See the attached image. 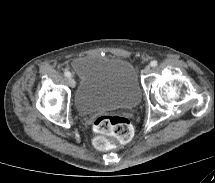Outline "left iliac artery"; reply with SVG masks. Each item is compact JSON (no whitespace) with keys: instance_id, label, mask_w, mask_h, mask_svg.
<instances>
[{"instance_id":"obj_1","label":"left iliac artery","mask_w":215,"mask_h":183,"mask_svg":"<svg viewBox=\"0 0 215 183\" xmlns=\"http://www.w3.org/2000/svg\"><path fill=\"white\" fill-rule=\"evenodd\" d=\"M158 65V62L156 60H153L150 62L151 67H156Z\"/></svg>"}]
</instances>
